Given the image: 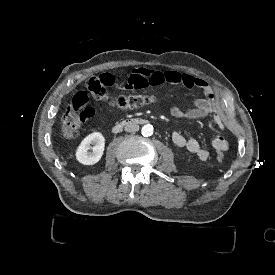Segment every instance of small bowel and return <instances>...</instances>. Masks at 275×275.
<instances>
[{
    "label": "small bowel",
    "mask_w": 275,
    "mask_h": 275,
    "mask_svg": "<svg viewBox=\"0 0 275 275\" xmlns=\"http://www.w3.org/2000/svg\"><path fill=\"white\" fill-rule=\"evenodd\" d=\"M100 79L108 87L115 88L119 84L116 76L109 72L102 73ZM162 84L183 85L187 88L200 89L203 92V97L194 100L193 107L188 110H183L178 106L172 107L170 113L173 117L197 120L212 115L215 123L220 128H225L224 108L216 92L207 82L195 79L189 74L174 70L160 71L140 67L131 72L124 88L129 90L140 89ZM172 142L179 148L187 149L201 161H206L210 157V151L194 138H185L182 134L176 132L172 136ZM211 145L216 151L220 152L228 150L230 143L226 138L216 136L211 140Z\"/></svg>",
    "instance_id": "obj_1"
}]
</instances>
